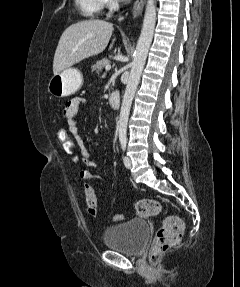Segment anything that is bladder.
I'll return each mask as SVG.
<instances>
[{
    "label": "bladder",
    "mask_w": 240,
    "mask_h": 287,
    "mask_svg": "<svg viewBox=\"0 0 240 287\" xmlns=\"http://www.w3.org/2000/svg\"><path fill=\"white\" fill-rule=\"evenodd\" d=\"M150 235L146 220L133 218L125 223L106 228L104 245L127 255H139L145 249Z\"/></svg>",
    "instance_id": "obj_1"
}]
</instances>
